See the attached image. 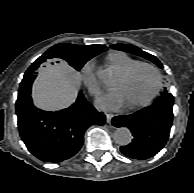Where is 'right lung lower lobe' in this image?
I'll return each instance as SVG.
<instances>
[{
  "mask_svg": "<svg viewBox=\"0 0 194 193\" xmlns=\"http://www.w3.org/2000/svg\"><path fill=\"white\" fill-rule=\"evenodd\" d=\"M16 113L20 136L28 150L44 162L58 163L74 156L82 147L90 125H103L98 112L82 93L67 109L48 112L33 106L30 95L17 99Z\"/></svg>",
  "mask_w": 194,
  "mask_h": 193,
  "instance_id": "1",
  "label": "right lung lower lobe"
}]
</instances>
